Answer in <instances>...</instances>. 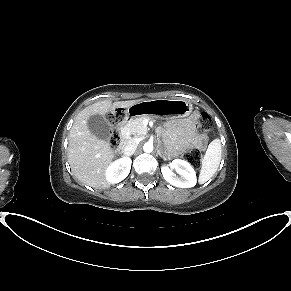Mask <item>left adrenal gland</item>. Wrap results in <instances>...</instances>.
Here are the masks:
<instances>
[{
	"mask_svg": "<svg viewBox=\"0 0 291 291\" xmlns=\"http://www.w3.org/2000/svg\"><path fill=\"white\" fill-rule=\"evenodd\" d=\"M158 154H159L161 157H163V155L161 154L160 150H158Z\"/></svg>",
	"mask_w": 291,
	"mask_h": 291,
	"instance_id": "obj_1",
	"label": "left adrenal gland"
}]
</instances>
